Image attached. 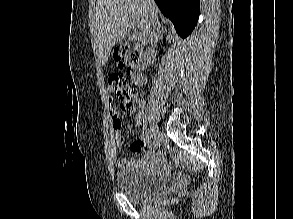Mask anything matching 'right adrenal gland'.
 Here are the masks:
<instances>
[{
	"instance_id": "right-adrenal-gland-1",
	"label": "right adrenal gland",
	"mask_w": 293,
	"mask_h": 219,
	"mask_svg": "<svg viewBox=\"0 0 293 219\" xmlns=\"http://www.w3.org/2000/svg\"><path fill=\"white\" fill-rule=\"evenodd\" d=\"M157 31H159V35L157 36V38H156V40H155V43H154L153 47H156V46H157V42H158V40L163 38V33H164V31H163V29L160 30V24H158Z\"/></svg>"
}]
</instances>
